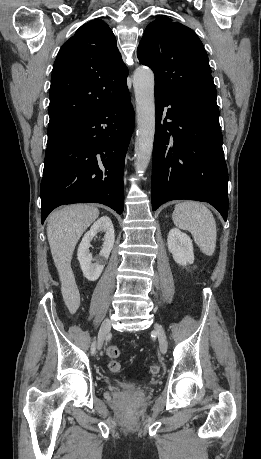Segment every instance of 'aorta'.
<instances>
[{
    "instance_id": "aorta-1",
    "label": "aorta",
    "mask_w": 261,
    "mask_h": 459,
    "mask_svg": "<svg viewBox=\"0 0 261 459\" xmlns=\"http://www.w3.org/2000/svg\"><path fill=\"white\" fill-rule=\"evenodd\" d=\"M154 73L145 66L138 67L133 76L136 99L137 132L135 170L143 176L150 162L155 135Z\"/></svg>"
}]
</instances>
